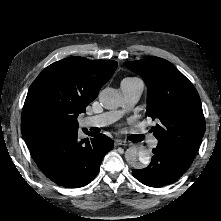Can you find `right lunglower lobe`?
Listing matches in <instances>:
<instances>
[{
  "mask_svg": "<svg viewBox=\"0 0 221 221\" xmlns=\"http://www.w3.org/2000/svg\"><path fill=\"white\" fill-rule=\"evenodd\" d=\"M84 131V130H83ZM80 139L75 130L56 139L30 147L39 169L53 182L66 188H79L90 183L99 172L100 164L113 141L104 134Z\"/></svg>",
  "mask_w": 221,
  "mask_h": 221,
  "instance_id": "98d812e1",
  "label": "right lung lower lobe"
}]
</instances>
